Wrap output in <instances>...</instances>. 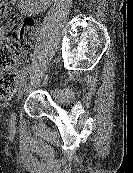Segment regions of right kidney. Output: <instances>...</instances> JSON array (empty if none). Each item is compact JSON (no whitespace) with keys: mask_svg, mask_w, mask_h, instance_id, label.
Segmentation results:
<instances>
[{"mask_svg":"<svg viewBox=\"0 0 133 173\" xmlns=\"http://www.w3.org/2000/svg\"><path fill=\"white\" fill-rule=\"evenodd\" d=\"M20 1V9L25 12L36 13L39 9V5L37 3H33L36 0H19ZM40 4L46 3V0H39Z\"/></svg>","mask_w":133,"mask_h":173,"instance_id":"ca27d5eb","label":"right kidney"}]
</instances>
